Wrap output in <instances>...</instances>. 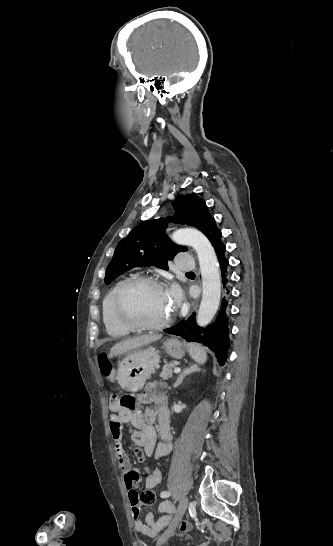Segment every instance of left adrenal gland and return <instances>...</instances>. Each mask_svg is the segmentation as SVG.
I'll return each mask as SVG.
<instances>
[{
	"mask_svg": "<svg viewBox=\"0 0 333 546\" xmlns=\"http://www.w3.org/2000/svg\"><path fill=\"white\" fill-rule=\"evenodd\" d=\"M200 369L196 366V365H192L190 368H186L185 370H183V372L179 375V377L177 378L175 384H174V388H177L179 385L182 384L184 378L186 376H188L189 374L193 373V372H196V371H199Z\"/></svg>",
	"mask_w": 333,
	"mask_h": 546,
	"instance_id": "1",
	"label": "left adrenal gland"
}]
</instances>
